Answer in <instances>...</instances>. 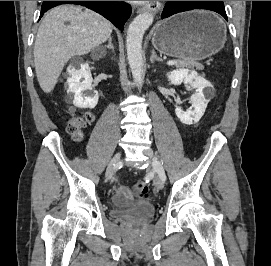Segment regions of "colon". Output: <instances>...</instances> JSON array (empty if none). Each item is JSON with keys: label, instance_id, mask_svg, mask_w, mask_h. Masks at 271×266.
I'll return each mask as SVG.
<instances>
[{"label": "colon", "instance_id": "5ec220e1", "mask_svg": "<svg viewBox=\"0 0 271 266\" xmlns=\"http://www.w3.org/2000/svg\"><path fill=\"white\" fill-rule=\"evenodd\" d=\"M92 121V115L90 113H84L82 115H73L66 124V129L69 135L76 141L82 138L83 129ZM133 191L142 198L149 196V188L147 184L142 181H138L133 185Z\"/></svg>", "mask_w": 271, "mask_h": 266}]
</instances>
